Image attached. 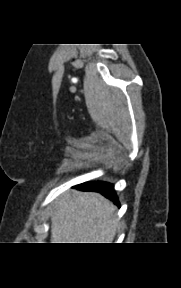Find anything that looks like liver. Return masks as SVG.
<instances>
[{"label":"liver","instance_id":"obj_1","mask_svg":"<svg viewBox=\"0 0 181 288\" xmlns=\"http://www.w3.org/2000/svg\"><path fill=\"white\" fill-rule=\"evenodd\" d=\"M116 206L101 194L72 190L55 201L52 243H112L118 224Z\"/></svg>","mask_w":181,"mask_h":288}]
</instances>
